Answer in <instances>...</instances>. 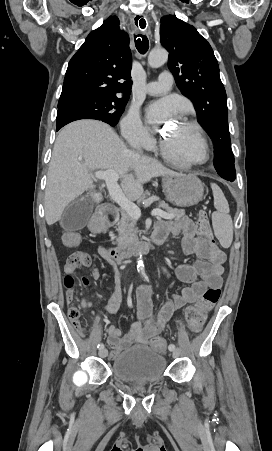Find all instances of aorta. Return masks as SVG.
Instances as JSON below:
<instances>
[{
  "label": "aorta",
  "mask_w": 272,
  "mask_h": 451,
  "mask_svg": "<svg viewBox=\"0 0 272 451\" xmlns=\"http://www.w3.org/2000/svg\"><path fill=\"white\" fill-rule=\"evenodd\" d=\"M168 60V52L166 50H152L148 56V64L151 68H160ZM137 269L141 275L144 273V261L142 255L137 259Z\"/></svg>",
  "instance_id": "762f6f07"
}]
</instances>
